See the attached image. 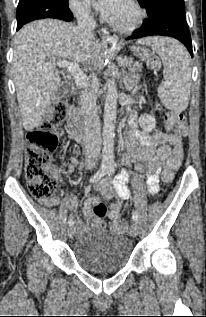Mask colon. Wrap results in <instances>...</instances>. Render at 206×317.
<instances>
[{
  "mask_svg": "<svg viewBox=\"0 0 206 317\" xmlns=\"http://www.w3.org/2000/svg\"><path fill=\"white\" fill-rule=\"evenodd\" d=\"M156 65V61H152ZM69 107L60 103L51 110L48 120L37 129L27 134V148L25 158V176L30 194L39 200H49L57 189V181L52 175L51 154L58 148L59 138L63 134L62 123L67 118ZM166 125L178 135L187 132V120L183 113L169 111L165 115ZM182 158L181 147H176L164 166V179L169 181L179 167ZM69 169L68 165L64 166ZM94 214L98 218H105L108 214L105 204L99 202L94 205ZM116 231L124 232L127 228L122 221H115L112 225Z\"/></svg>",
  "mask_w": 206,
  "mask_h": 317,
  "instance_id": "5ec220e1",
  "label": "colon"
}]
</instances>
